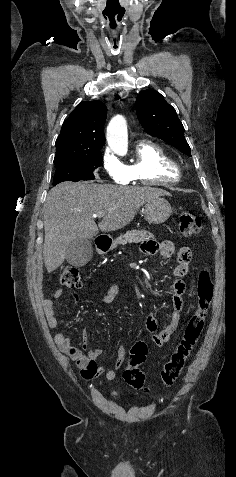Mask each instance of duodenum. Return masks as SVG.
I'll return each instance as SVG.
<instances>
[{
    "instance_id": "410a0bca",
    "label": "duodenum",
    "mask_w": 236,
    "mask_h": 477,
    "mask_svg": "<svg viewBox=\"0 0 236 477\" xmlns=\"http://www.w3.org/2000/svg\"><path fill=\"white\" fill-rule=\"evenodd\" d=\"M112 244V241L110 239H98L95 243V246L98 250H106L108 249Z\"/></svg>"
}]
</instances>
